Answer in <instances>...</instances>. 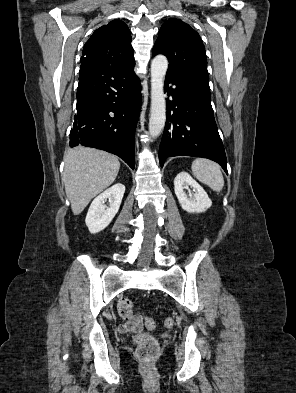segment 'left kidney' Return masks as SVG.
I'll return each mask as SVG.
<instances>
[{"mask_svg":"<svg viewBox=\"0 0 296 393\" xmlns=\"http://www.w3.org/2000/svg\"><path fill=\"white\" fill-rule=\"evenodd\" d=\"M189 186L194 193L187 195L184 189ZM174 190L182 209L189 213L205 212L212 205L205 190L187 172H180L175 177Z\"/></svg>","mask_w":296,"mask_h":393,"instance_id":"left-kidney-1","label":"left kidney"}]
</instances>
